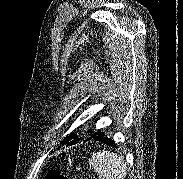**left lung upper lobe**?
Listing matches in <instances>:
<instances>
[{
	"label": "left lung upper lobe",
	"instance_id": "1",
	"mask_svg": "<svg viewBox=\"0 0 183 179\" xmlns=\"http://www.w3.org/2000/svg\"><path fill=\"white\" fill-rule=\"evenodd\" d=\"M81 137L80 135H78L75 132L70 133L66 138H64V140L61 142V144H67L70 143L71 141H73L74 139Z\"/></svg>",
	"mask_w": 183,
	"mask_h": 179
}]
</instances>
